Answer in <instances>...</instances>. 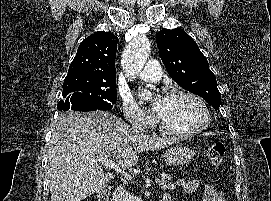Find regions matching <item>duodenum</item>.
<instances>
[{"mask_svg": "<svg viewBox=\"0 0 271 201\" xmlns=\"http://www.w3.org/2000/svg\"><path fill=\"white\" fill-rule=\"evenodd\" d=\"M111 187L110 185H104L98 192L97 199L98 201H109ZM161 201H171L170 195L166 194L163 196Z\"/></svg>", "mask_w": 271, "mask_h": 201, "instance_id": "duodenum-1", "label": "duodenum"}]
</instances>
